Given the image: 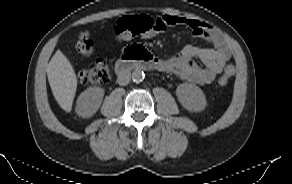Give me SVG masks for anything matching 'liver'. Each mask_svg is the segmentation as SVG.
Masks as SVG:
<instances>
[{
    "label": "liver",
    "instance_id": "6515ba94",
    "mask_svg": "<svg viewBox=\"0 0 292 184\" xmlns=\"http://www.w3.org/2000/svg\"><path fill=\"white\" fill-rule=\"evenodd\" d=\"M47 77L57 103L70 112L77 89V77L70 61L60 50L56 51L47 66Z\"/></svg>",
    "mask_w": 292,
    "mask_h": 184
}]
</instances>
